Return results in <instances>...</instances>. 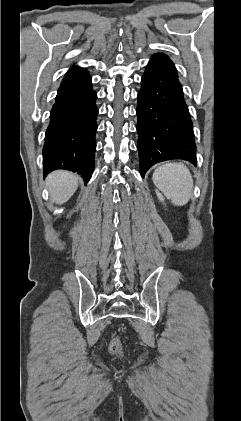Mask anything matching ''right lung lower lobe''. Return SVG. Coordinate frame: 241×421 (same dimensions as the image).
I'll return each mask as SVG.
<instances>
[{
    "mask_svg": "<svg viewBox=\"0 0 241 421\" xmlns=\"http://www.w3.org/2000/svg\"><path fill=\"white\" fill-rule=\"evenodd\" d=\"M97 94L85 68L73 67L63 78L50 112L43 146L44 174L66 169L86 182L94 170Z\"/></svg>",
    "mask_w": 241,
    "mask_h": 421,
    "instance_id": "obj_1",
    "label": "right lung lower lobe"
}]
</instances>
